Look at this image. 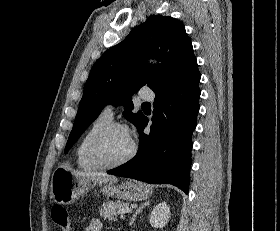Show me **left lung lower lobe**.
<instances>
[{"label": "left lung lower lobe", "mask_w": 280, "mask_h": 231, "mask_svg": "<svg viewBox=\"0 0 280 231\" xmlns=\"http://www.w3.org/2000/svg\"><path fill=\"white\" fill-rule=\"evenodd\" d=\"M200 72L198 68L168 87L156 91L151 131L143 133L148 118L142 114L136 124L139 150L129 162L107 171L151 184H172L188 193L192 133L199 112Z\"/></svg>", "instance_id": "left-lung-lower-lobe-1"}]
</instances>
